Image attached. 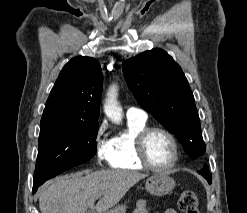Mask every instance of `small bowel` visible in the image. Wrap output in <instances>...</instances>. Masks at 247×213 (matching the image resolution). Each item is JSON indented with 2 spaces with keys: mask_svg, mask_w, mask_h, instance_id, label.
Returning a JSON list of instances; mask_svg holds the SVG:
<instances>
[{
  "mask_svg": "<svg viewBox=\"0 0 247 213\" xmlns=\"http://www.w3.org/2000/svg\"><path fill=\"white\" fill-rule=\"evenodd\" d=\"M134 213H158V212H151L148 202L145 200H141L138 202ZM164 213H178V212L174 209H167Z\"/></svg>",
  "mask_w": 247,
  "mask_h": 213,
  "instance_id": "1",
  "label": "small bowel"
}]
</instances>
